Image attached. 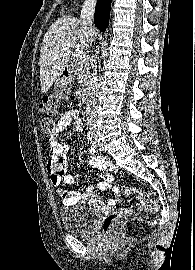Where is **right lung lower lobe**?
I'll list each match as a JSON object with an SVG mask.
<instances>
[{
    "label": "right lung lower lobe",
    "mask_w": 195,
    "mask_h": 270,
    "mask_svg": "<svg viewBox=\"0 0 195 270\" xmlns=\"http://www.w3.org/2000/svg\"><path fill=\"white\" fill-rule=\"evenodd\" d=\"M111 0H97L94 23L96 27L104 32L109 24Z\"/></svg>",
    "instance_id": "98d812e1"
}]
</instances>
